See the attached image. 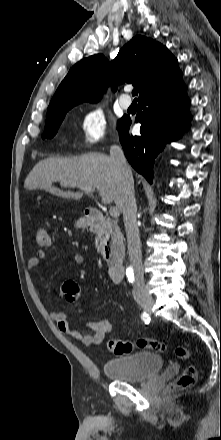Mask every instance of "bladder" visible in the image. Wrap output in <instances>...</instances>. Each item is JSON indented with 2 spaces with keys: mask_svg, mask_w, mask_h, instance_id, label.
<instances>
[{
  "mask_svg": "<svg viewBox=\"0 0 221 440\" xmlns=\"http://www.w3.org/2000/svg\"><path fill=\"white\" fill-rule=\"evenodd\" d=\"M163 366L164 359L161 355L139 352L106 360L103 364V372L113 380L135 383L157 375Z\"/></svg>",
  "mask_w": 221,
  "mask_h": 440,
  "instance_id": "obj_1",
  "label": "bladder"
}]
</instances>
